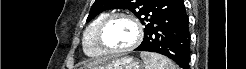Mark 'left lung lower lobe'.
I'll return each instance as SVG.
<instances>
[{
	"label": "left lung lower lobe",
	"mask_w": 246,
	"mask_h": 69,
	"mask_svg": "<svg viewBox=\"0 0 246 69\" xmlns=\"http://www.w3.org/2000/svg\"><path fill=\"white\" fill-rule=\"evenodd\" d=\"M185 5L178 0L166 14L144 30V40L135 50L160 53L189 69L190 34Z\"/></svg>",
	"instance_id": "1"
}]
</instances>
